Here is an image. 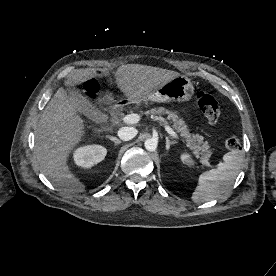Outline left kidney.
I'll list each match as a JSON object with an SVG mask.
<instances>
[{
    "mask_svg": "<svg viewBox=\"0 0 276 276\" xmlns=\"http://www.w3.org/2000/svg\"><path fill=\"white\" fill-rule=\"evenodd\" d=\"M181 160L183 163H185L189 166L193 165V160L191 159V157L188 154H182Z\"/></svg>",
    "mask_w": 276,
    "mask_h": 276,
    "instance_id": "left-kidney-1",
    "label": "left kidney"
}]
</instances>
